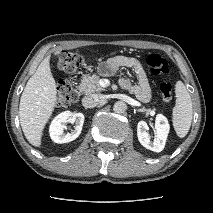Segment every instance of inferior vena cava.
I'll return each instance as SVG.
<instances>
[{
	"instance_id": "602c4592",
	"label": "inferior vena cava",
	"mask_w": 213,
	"mask_h": 213,
	"mask_svg": "<svg viewBox=\"0 0 213 213\" xmlns=\"http://www.w3.org/2000/svg\"><path fill=\"white\" fill-rule=\"evenodd\" d=\"M106 100L105 96L102 94H92L85 96L82 99V105L85 108H94Z\"/></svg>"
}]
</instances>
